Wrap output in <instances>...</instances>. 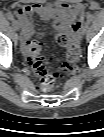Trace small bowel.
Here are the masks:
<instances>
[{
	"label": "small bowel",
	"mask_w": 104,
	"mask_h": 137,
	"mask_svg": "<svg viewBox=\"0 0 104 137\" xmlns=\"http://www.w3.org/2000/svg\"><path fill=\"white\" fill-rule=\"evenodd\" d=\"M83 11V5L79 3L70 5L62 2H48L18 7L16 16L21 28L22 51L27 52L30 39L34 35L32 17L35 14L43 20L51 21L53 28L77 36L83 19Z\"/></svg>",
	"instance_id": "small-bowel-1"
}]
</instances>
